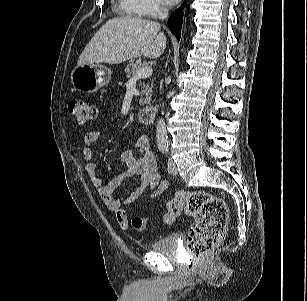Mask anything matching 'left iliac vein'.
Returning <instances> with one entry per match:
<instances>
[{"instance_id": "4c4485c4", "label": "left iliac vein", "mask_w": 307, "mask_h": 301, "mask_svg": "<svg viewBox=\"0 0 307 301\" xmlns=\"http://www.w3.org/2000/svg\"><path fill=\"white\" fill-rule=\"evenodd\" d=\"M168 172L172 175H176L178 173L176 163L171 158L168 160Z\"/></svg>"}]
</instances>
